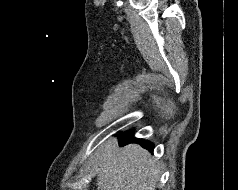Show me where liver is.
Segmentation results:
<instances>
[{
    "label": "liver",
    "mask_w": 238,
    "mask_h": 190,
    "mask_svg": "<svg viewBox=\"0 0 238 190\" xmlns=\"http://www.w3.org/2000/svg\"><path fill=\"white\" fill-rule=\"evenodd\" d=\"M95 174L98 190H155L159 167L141 146L119 150L118 140L110 138L101 147Z\"/></svg>",
    "instance_id": "6515ba94"
}]
</instances>
